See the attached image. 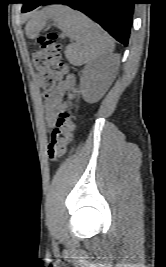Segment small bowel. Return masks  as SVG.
<instances>
[{
    "label": "small bowel",
    "mask_w": 166,
    "mask_h": 267,
    "mask_svg": "<svg viewBox=\"0 0 166 267\" xmlns=\"http://www.w3.org/2000/svg\"><path fill=\"white\" fill-rule=\"evenodd\" d=\"M73 83V78L69 77L59 82L49 95L46 102V121L48 126H53L57 112L63 107V95Z\"/></svg>",
    "instance_id": "1"
}]
</instances>
